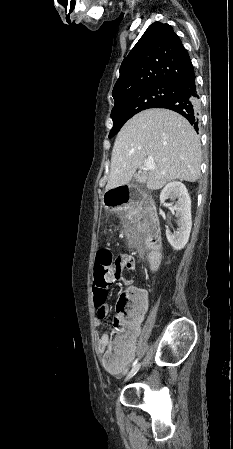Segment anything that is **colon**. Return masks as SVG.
Wrapping results in <instances>:
<instances>
[{
  "label": "colon",
  "mask_w": 233,
  "mask_h": 449,
  "mask_svg": "<svg viewBox=\"0 0 233 449\" xmlns=\"http://www.w3.org/2000/svg\"><path fill=\"white\" fill-rule=\"evenodd\" d=\"M112 253L109 249L98 250L94 264L93 303L96 309L105 305L110 285L111 268L114 266ZM146 304V295L139 288L124 291L117 303L118 314L112 321L115 348L123 351L127 343L139 329V320ZM103 365L107 369H117L123 360L116 359L112 354H106Z\"/></svg>",
  "instance_id": "1"
}]
</instances>
